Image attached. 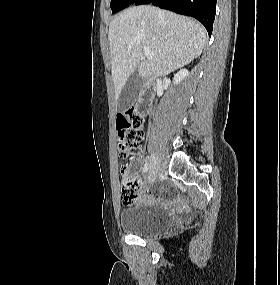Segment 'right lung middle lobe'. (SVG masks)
<instances>
[{"mask_svg": "<svg viewBox=\"0 0 280 285\" xmlns=\"http://www.w3.org/2000/svg\"><path fill=\"white\" fill-rule=\"evenodd\" d=\"M136 0H111V9L112 13H116L124 8L128 7L131 3H134Z\"/></svg>", "mask_w": 280, "mask_h": 285, "instance_id": "1", "label": "right lung middle lobe"}]
</instances>
